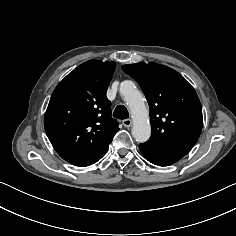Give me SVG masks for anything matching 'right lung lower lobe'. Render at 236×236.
I'll list each match as a JSON object with an SVG mask.
<instances>
[{
	"label": "right lung lower lobe",
	"mask_w": 236,
	"mask_h": 236,
	"mask_svg": "<svg viewBox=\"0 0 236 236\" xmlns=\"http://www.w3.org/2000/svg\"><path fill=\"white\" fill-rule=\"evenodd\" d=\"M107 150L102 152L99 155L94 156H83V155H74V154H59L67 162L80 167H85L96 163L100 160L106 153Z\"/></svg>",
	"instance_id": "1"
}]
</instances>
